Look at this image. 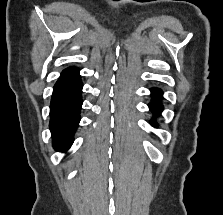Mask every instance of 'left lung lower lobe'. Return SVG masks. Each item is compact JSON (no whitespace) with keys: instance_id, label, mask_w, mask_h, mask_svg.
<instances>
[{"instance_id":"1","label":"left lung lower lobe","mask_w":223,"mask_h":215,"mask_svg":"<svg viewBox=\"0 0 223 215\" xmlns=\"http://www.w3.org/2000/svg\"><path fill=\"white\" fill-rule=\"evenodd\" d=\"M151 92L153 96V101L149 104V107L155 115H159L163 109L162 105L159 102L162 96V92L160 89L157 88H152ZM151 125L157 127V124L154 120L151 121Z\"/></svg>"}]
</instances>
